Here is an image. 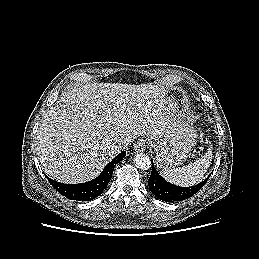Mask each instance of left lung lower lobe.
Instances as JSON below:
<instances>
[{
	"mask_svg": "<svg viewBox=\"0 0 259 259\" xmlns=\"http://www.w3.org/2000/svg\"><path fill=\"white\" fill-rule=\"evenodd\" d=\"M210 177V175H209ZM207 177L201 183L191 187L175 186L159 175L152 163L151 175L148 179L150 191L159 199L168 202L182 201L196 194L207 182Z\"/></svg>",
	"mask_w": 259,
	"mask_h": 259,
	"instance_id": "left-lung-lower-lobe-1",
	"label": "left lung lower lobe"
}]
</instances>
